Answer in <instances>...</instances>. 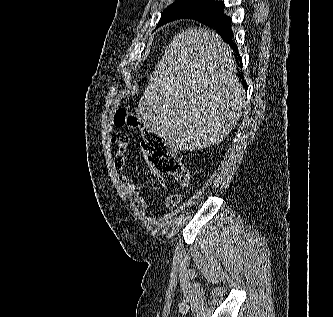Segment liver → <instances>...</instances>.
Returning a JSON list of instances; mask_svg holds the SVG:
<instances>
[{
    "label": "liver",
    "instance_id": "6515ba94",
    "mask_svg": "<svg viewBox=\"0 0 333 317\" xmlns=\"http://www.w3.org/2000/svg\"><path fill=\"white\" fill-rule=\"evenodd\" d=\"M245 104L230 47L215 32L191 28L166 48L136 112L172 148L193 151L221 142Z\"/></svg>",
    "mask_w": 333,
    "mask_h": 317
}]
</instances>
